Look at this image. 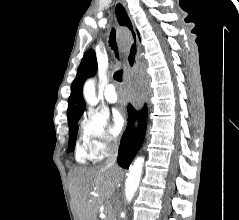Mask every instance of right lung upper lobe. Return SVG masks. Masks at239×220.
<instances>
[{
    "label": "right lung upper lobe",
    "instance_id": "right-lung-upper-lobe-1",
    "mask_svg": "<svg viewBox=\"0 0 239 220\" xmlns=\"http://www.w3.org/2000/svg\"><path fill=\"white\" fill-rule=\"evenodd\" d=\"M97 70V60L93 50L87 51L77 69V76L71 85V94L68 99V123L81 117L86 105L82 95V87L89 76H94Z\"/></svg>",
    "mask_w": 239,
    "mask_h": 220
}]
</instances>
